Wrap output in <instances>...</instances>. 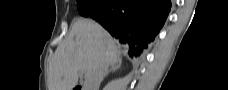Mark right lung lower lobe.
I'll list each match as a JSON object with an SVG mask.
<instances>
[{
  "label": "right lung lower lobe",
  "mask_w": 228,
  "mask_h": 90,
  "mask_svg": "<svg viewBox=\"0 0 228 90\" xmlns=\"http://www.w3.org/2000/svg\"><path fill=\"white\" fill-rule=\"evenodd\" d=\"M170 8V0H107L91 18L118 39L129 56L139 57L159 33Z\"/></svg>",
  "instance_id": "obj_1"
}]
</instances>
